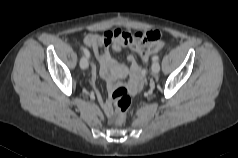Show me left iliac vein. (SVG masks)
Instances as JSON below:
<instances>
[{
    "label": "left iliac vein",
    "instance_id": "1",
    "mask_svg": "<svg viewBox=\"0 0 238 158\" xmlns=\"http://www.w3.org/2000/svg\"><path fill=\"white\" fill-rule=\"evenodd\" d=\"M151 71L154 75L158 74L160 71V64L157 61H154L151 66Z\"/></svg>",
    "mask_w": 238,
    "mask_h": 158
}]
</instances>
